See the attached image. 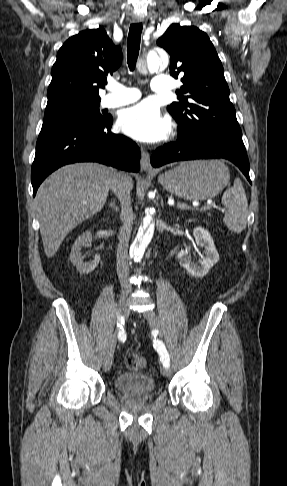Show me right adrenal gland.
<instances>
[{
  "mask_svg": "<svg viewBox=\"0 0 287 486\" xmlns=\"http://www.w3.org/2000/svg\"><path fill=\"white\" fill-rule=\"evenodd\" d=\"M109 207L116 212L119 211V206L115 203V201L110 202Z\"/></svg>",
  "mask_w": 287,
  "mask_h": 486,
  "instance_id": "1",
  "label": "right adrenal gland"
}]
</instances>
